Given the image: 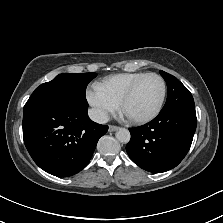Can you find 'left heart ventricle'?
<instances>
[{
    "mask_svg": "<svg viewBox=\"0 0 223 223\" xmlns=\"http://www.w3.org/2000/svg\"><path fill=\"white\" fill-rule=\"evenodd\" d=\"M161 95V83L156 77L146 78L137 88L133 96L121 108L124 115L144 117L156 108Z\"/></svg>",
    "mask_w": 223,
    "mask_h": 223,
    "instance_id": "obj_1",
    "label": "left heart ventricle"
}]
</instances>
